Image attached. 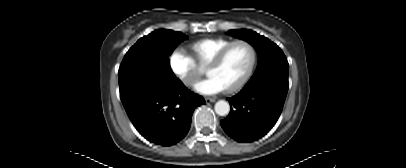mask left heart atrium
Returning a JSON list of instances; mask_svg holds the SVG:
<instances>
[{
	"label": "left heart atrium",
	"instance_id": "39dd6f15",
	"mask_svg": "<svg viewBox=\"0 0 406 168\" xmlns=\"http://www.w3.org/2000/svg\"><path fill=\"white\" fill-rule=\"evenodd\" d=\"M195 90L204 95H213L223 91L224 87L216 78L208 76L196 84Z\"/></svg>",
	"mask_w": 406,
	"mask_h": 168
}]
</instances>
